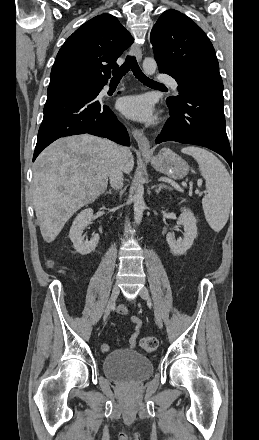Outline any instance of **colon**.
<instances>
[{
  "label": "colon",
  "mask_w": 259,
  "mask_h": 440,
  "mask_svg": "<svg viewBox=\"0 0 259 440\" xmlns=\"http://www.w3.org/2000/svg\"><path fill=\"white\" fill-rule=\"evenodd\" d=\"M140 344L146 352H154L158 348V340L155 337H144Z\"/></svg>",
  "instance_id": "1"
}]
</instances>
